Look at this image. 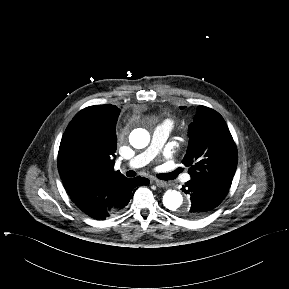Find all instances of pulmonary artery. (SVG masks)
<instances>
[{"instance_id": "e3ab8cb5", "label": "pulmonary artery", "mask_w": 289, "mask_h": 289, "mask_svg": "<svg viewBox=\"0 0 289 289\" xmlns=\"http://www.w3.org/2000/svg\"><path fill=\"white\" fill-rule=\"evenodd\" d=\"M172 129V124L170 121H164L156 126L152 133V138L149 146L132 158L128 162L130 168H140L147 165L151 160H153L161 151L164 143L166 142ZM184 181L190 180L188 174L184 175Z\"/></svg>"}]
</instances>
